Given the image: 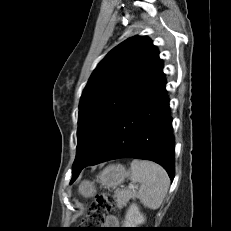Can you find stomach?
<instances>
[{
    "label": "stomach",
    "mask_w": 231,
    "mask_h": 231,
    "mask_svg": "<svg viewBox=\"0 0 231 231\" xmlns=\"http://www.w3.org/2000/svg\"><path fill=\"white\" fill-rule=\"evenodd\" d=\"M127 171L121 165H110L103 170L99 179L102 185L107 188H116L123 183ZM79 192L84 197H92L96 194V187L93 182L83 181L79 186Z\"/></svg>",
    "instance_id": "stomach-1"
}]
</instances>
